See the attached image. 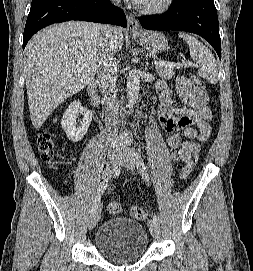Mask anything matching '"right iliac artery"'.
<instances>
[{"mask_svg":"<svg viewBox=\"0 0 253 271\" xmlns=\"http://www.w3.org/2000/svg\"><path fill=\"white\" fill-rule=\"evenodd\" d=\"M108 183H109V177H107L106 179H104L98 189H97V193H96V196H95V199L93 201V204L91 206V210L90 212L92 213L96 207L98 206V204L100 203V200H101V195L104 193V191L106 190L107 186H108Z\"/></svg>","mask_w":253,"mask_h":271,"instance_id":"right-iliac-artery-1","label":"right iliac artery"}]
</instances>
